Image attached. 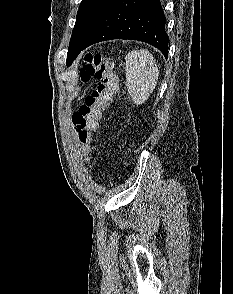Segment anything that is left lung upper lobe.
<instances>
[{
    "label": "left lung upper lobe",
    "mask_w": 233,
    "mask_h": 294,
    "mask_svg": "<svg viewBox=\"0 0 233 294\" xmlns=\"http://www.w3.org/2000/svg\"><path fill=\"white\" fill-rule=\"evenodd\" d=\"M111 0H83L77 12L66 65L70 66L82 50L84 41Z\"/></svg>",
    "instance_id": "1"
}]
</instances>
